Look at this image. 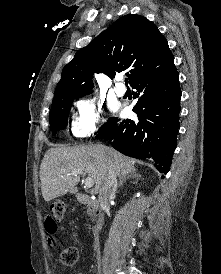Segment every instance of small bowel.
Masks as SVG:
<instances>
[{"label": "small bowel", "instance_id": "c3829d8e", "mask_svg": "<svg viewBox=\"0 0 221 274\" xmlns=\"http://www.w3.org/2000/svg\"><path fill=\"white\" fill-rule=\"evenodd\" d=\"M44 229L48 235V243L53 245L56 241L55 234L58 231V225L51 216H46L44 219ZM81 274V273H80Z\"/></svg>", "mask_w": 221, "mask_h": 274}]
</instances>
